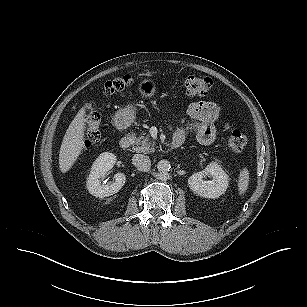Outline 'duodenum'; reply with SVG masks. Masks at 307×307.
Listing matches in <instances>:
<instances>
[{
	"label": "duodenum",
	"instance_id": "1",
	"mask_svg": "<svg viewBox=\"0 0 307 307\" xmlns=\"http://www.w3.org/2000/svg\"><path fill=\"white\" fill-rule=\"evenodd\" d=\"M133 143V138L130 135H125L120 139V147L123 149H127L131 146ZM183 143V140L180 138H173L171 144H170V149L175 150L179 148Z\"/></svg>",
	"mask_w": 307,
	"mask_h": 307
}]
</instances>
